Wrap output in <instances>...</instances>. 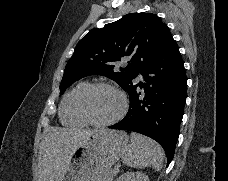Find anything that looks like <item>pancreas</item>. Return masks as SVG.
Returning <instances> with one entry per match:
<instances>
[{
  "label": "pancreas",
  "instance_id": "1",
  "mask_svg": "<svg viewBox=\"0 0 228 181\" xmlns=\"http://www.w3.org/2000/svg\"><path fill=\"white\" fill-rule=\"evenodd\" d=\"M115 175H116V171H113V169H111V171L109 173V177H108L109 181H112V179H113V177H115Z\"/></svg>",
  "mask_w": 228,
  "mask_h": 181
}]
</instances>
